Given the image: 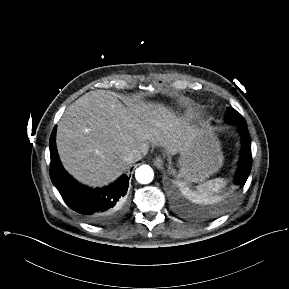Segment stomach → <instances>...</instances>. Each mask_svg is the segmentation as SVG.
<instances>
[{
  "label": "stomach",
  "instance_id": "1",
  "mask_svg": "<svg viewBox=\"0 0 289 289\" xmlns=\"http://www.w3.org/2000/svg\"><path fill=\"white\" fill-rule=\"evenodd\" d=\"M223 155L217 137L204 130L192 131L180 148L181 171L193 178L204 179L218 171Z\"/></svg>",
  "mask_w": 289,
  "mask_h": 289
}]
</instances>
